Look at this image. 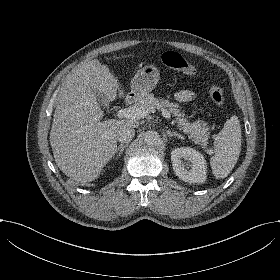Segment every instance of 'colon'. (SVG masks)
<instances>
[{
    "label": "colon",
    "mask_w": 280,
    "mask_h": 280,
    "mask_svg": "<svg viewBox=\"0 0 280 280\" xmlns=\"http://www.w3.org/2000/svg\"><path fill=\"white\" fill-rule=\"evenodd\" d=\"M164 62L171 68H175L178 71H182L187 75H192L196 71V65L194 62L186 60L183 57H178L174 52L167 51L163 55ZM212 101L217 105H223L224 94L220 87L213 86L209 91Z\"/></svg>",
    "instance_id": "obj_1"
}]
</instances>
